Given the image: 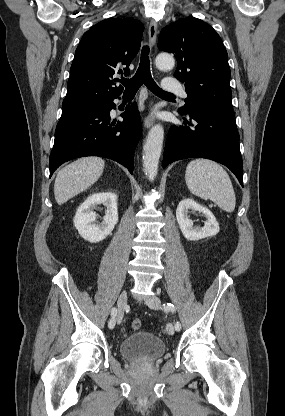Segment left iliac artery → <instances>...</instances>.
Instances as JSON below:
<instances>
[{"instance_id": "obj_1", "label": "left iliac artery", "mask_w": 285, "mask_h": 416, "mask_svg": "<svg viewBox=\"0 0 285 416\" xmlns=\"http://www.w3.org/2000/svg\"><path fill=\"white\" fill-rule=\"evenodd\" d=\"M163 306H164V310L165 311H171V312H175V306L172 304V303H166V304H163ZM175 329H178L177 331H180V329H181V324L179 323V322H176V324H175Z\"/></svg>"}]
</instances>
